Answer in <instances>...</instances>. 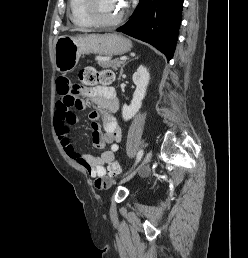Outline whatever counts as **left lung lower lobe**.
<instances>
[{
    "mask_svg": "<svg viewBox=\"0 0 248 258\" xmlns=\"http://www.w3.org/2000/svg\"><path fill=\"white\" fill-rule=\"evenodd\" d=\"M184 0H140L132 17L116 31L147 42L168 60L174 54Z\"/></svg>",
    "mask_w": 248,
    "mask_h": 258,
    "instance_id": "obj_1",
    "label": "left lung lower lobe"
}]
</instances>
